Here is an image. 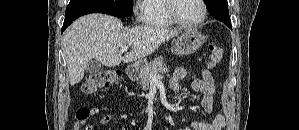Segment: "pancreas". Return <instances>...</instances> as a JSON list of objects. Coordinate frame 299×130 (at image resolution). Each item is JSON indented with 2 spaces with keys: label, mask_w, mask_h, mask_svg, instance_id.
<instances>
[{
  "label": "pancreas",
  "mask_w": 299,
  "mask_h": 130,
  "mask_svg": "<svg viewBox=\"0 0 299 130\" xmlns=\"http://www.w3.org/2000/svg\"><path fill=\"white\" fill-rule=\"evenodd\" d=\"M168 72V68L164 63L162 57H158L152 62H150L139 74L137 80L140 82V85L144 91H147L150 86V76L151 75H160Z\"/></svg>",
  "instance_id": "1"
}]
</instances>
